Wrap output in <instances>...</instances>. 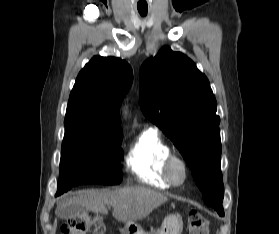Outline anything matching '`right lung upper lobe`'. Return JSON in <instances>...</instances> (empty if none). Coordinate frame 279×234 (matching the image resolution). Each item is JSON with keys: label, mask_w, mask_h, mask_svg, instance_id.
Masks as SVG:
<instances>
[{"label": "right lung upper lobe", "mask_w": 279, "mask_h": 234, "mask_svg": "<svg viewBox=\"0 0 279 234\" xmlns=\"http://www.w3.org/2000/svg\"><path fill=\"white\" fill-rule=\"evenodd\" d=\"M132 81L124 60L94 56L76 79L65 120L87 121L102 134H122L119 109Z\"/></svg>", "instance_id": "right-lung-upper-lobe-1"}]
</instances>
